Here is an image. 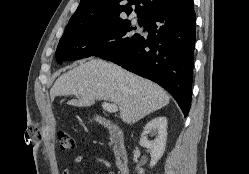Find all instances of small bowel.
Wrapping results in <instances>:
<instances>
[{"label": "small bowel", "instance_id": "small-bowel-1", "mask_svg": "<svg viewBox=\"0 0 249 174\" xmlns=\"http://www.w3.org/2000/svg\"><path fill=\"white\" fill-rule=\"evenodd\" d=\"M84 160V156L83 155H78L74 158V160L72 161L71 166H67L64 170L62 174H71V167H74L78 164H80L82 161ZM92 161H94L95 163H98L100 165H103L104 167H106L107 169L110 170L111 168V164L110 162L105 159L104 157L101 156H94L92 157ZM109 174H113L112 171H109Z\"/></svg>", "mask_w": 249, "mask_h": 174}]
</instances>
